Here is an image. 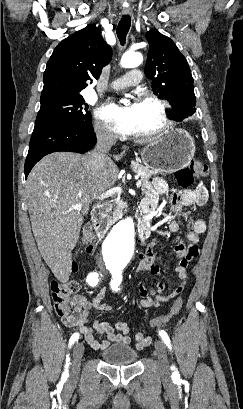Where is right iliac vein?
I'll return each instance as SVG.
<instances>
[{"mask_svg":"<svg viewBox=\"0 0 243 409\" xmlns=\"http://www.w3.org/2000/svg\"><path fill=\"white\" fill-rule=\"evenodd\" d=\"M83 353L84 345L80 342H77L73 348V377H76L79 373Z\"/></svg>","mask_w":243,"mask_h":409,"instance_id":"63e3f726","label":"right iliac vein"}]
</instances>
